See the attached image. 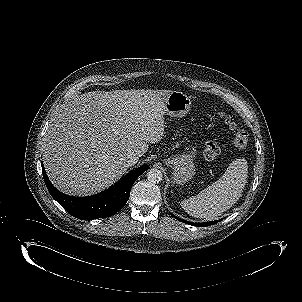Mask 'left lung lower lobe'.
I'll use <instances>...</instances> for the list:
<instances>
[{"mask_svg":"<svg viewBox=\"0 0 302 302\" xmlns=\"http://www.w3.org/2000/svg\"><path fill=\"white\" fill-rule=\"evenodd\" d=\"M175 218L178 219V220H180V221H182V222H184V223H187V224H190V225H194V226H199V227L210 226V225H213L215 223H218V221H220V220H218V221L206 222V223H192V222H188V221L182 220V219L177 218V217H175Z\"/></svg>","mask_w":302,"mask_h":302,"instance_id":"0a47b994","label":"left lung lower lobe"}]
</instances>
